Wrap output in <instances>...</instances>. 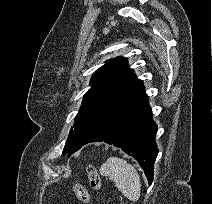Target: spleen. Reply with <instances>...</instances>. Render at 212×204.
I'll return each instance as SVG.
<instances>
[{"mask_svg":"<svg viewBox=\"0 0 212 204\" xmlns=\"http://www.w3.org/2000/svg\"><path fill=\"white\" fill-rule=\"evenodd\" d=\"M100 174L113 179L115 186L131 201H137L141 192V180L137 170L125 160L109 157L100 167Z\"/></svg>","mask_w":212,"mask_h":204,"instance_id":"obj_1","label":"spleen"}]
</instances>
